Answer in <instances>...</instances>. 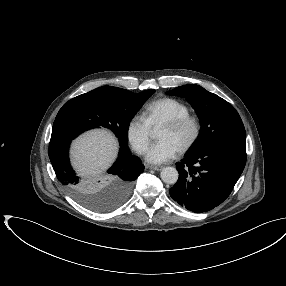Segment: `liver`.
<instances>
[{"mask_svg":"<svg viewBox=\"0 0 286 286\" xmlns=\"http://www.w3.org/2000/svg\"><path fill=\"white\" fill-rule=\"evenodd\" d=\"M117 150V141L111 133L104 130L89 131L72 143V165L80 176L95 177L113 163Z\"/></svg>","mask_w":286,"mask_h":286,"instance_id":"liver-1","label":"liver"}]
</instances>
